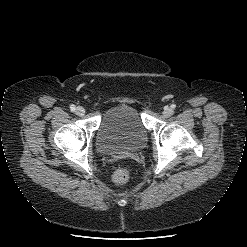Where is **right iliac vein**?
<instances>
[{
	"label": "right iliac vein",
	"mask_w": 247,
	"mask_h": 247,
	"mask_svg": "<svg viewBox=\"0 0 247 247\" xmlns=\"http://www.w3.org/2000/svg\"><path fill=\"white\" fill-rule=\"evenodd\" d=\"M76 114L79 115V116H83L85 114V109L81 106H78L76 109Z\"/></svg>",
	"instance_id": "1"
}]
</instances>
